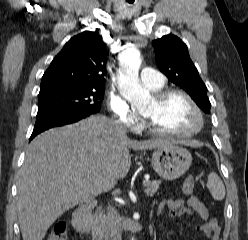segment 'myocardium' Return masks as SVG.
Segmentation results:
<instances>
[{
    "label": "myocardium",
    "instance_id": "1",
    "mask_svg": "<svg viewBox=\"0 0 248 240\" xmlns=\"http://www.w3.org/2000/svg\"><path fill=\"white\" fill-rule=\"evenodd\" d=\"M173 95H180L188 101V103L191 105L192 109L194 110L198 118L197 126L187 132H170V131L157 129L156 127L153 126L150 120L145 117L146 129L150 133L156 136L167 137V138H188L197 135L199 132L202 131L205 120L202 110L200 109L196 101L192 98V96L189 93L179 88H162L155 90L154 99L158 104H162L167 98Z\"/></svg>",
    "mask_w": 248,
    "mask_h": 240
}]
</instances>
